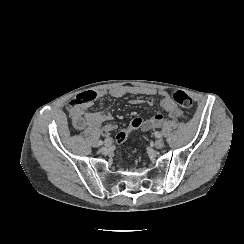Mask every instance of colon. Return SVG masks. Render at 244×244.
<instances>
[{
  "label": "colon",
  "instance_id": "1",
  "mask_svg": "<svg viewBox=\"0 0 244 244\" xmlns=\"http://www.w3.org/2000/svg\"><path fill=\"white\" fill-rule=\"evenodd\" d=\"M172 99L176 105L183 108H189L192 105V99L191 97L182 90L175 91L172 95ZM85 116L82 113H78L74 117V123L78 127L80 124L84 123ZM143 123L142 119H136L132 122V124L129 125L130 129H133L134 127H139ZM123 135V136H122ZM127 131L121 130L120 133L116 135V141L118 143H123L126 140Z\"/></svg>",
  "mask_w": 244,
  "mask_h": 244
}]
</instances>
